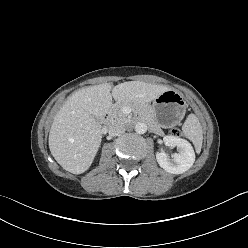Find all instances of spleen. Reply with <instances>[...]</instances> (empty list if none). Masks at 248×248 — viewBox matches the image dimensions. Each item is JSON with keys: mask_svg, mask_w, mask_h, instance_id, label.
Segmentation results:
<instances>
[{"mask_svg": "<svg viewBox=\"0 0 248 248\" xmlns=\"http://www.w3.org/2000/svg\"><path fill=\"white\" fill-rule=\"evenodd\" d=\"M183 134L193 142L195 148L200 151L202 147V126L199 122V119L194 114L188 115L186 118L183 127Z\"/></svg>", "mask_w": 248, "mask_h": 248, "instance_id": "spleen-1", "label": "spleen"}]
</instances>
